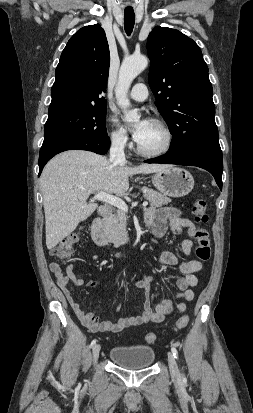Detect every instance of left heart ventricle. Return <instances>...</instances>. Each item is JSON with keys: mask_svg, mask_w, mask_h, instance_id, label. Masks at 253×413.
I'll use <instances>...</instances> for the list:
<instances>
[{"mask_svg": "<svg viewBox=\"0 0 253 413\" xmlns=\"http://www.w3.org/2000/svg\"><path fill=\"white\" fill-rule=\"evenodd\" d=\"M165 142V135L163 131L153 122L144 133L141 140L138 142L139 146L148 151H154L163 146Z\"/></svg>", "mask_w": 253, "mask_h": 413, "instance_id": "obj_1", "label": "left heart ventricle"}]
</instances>
